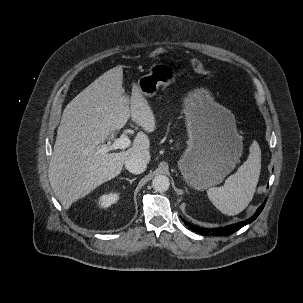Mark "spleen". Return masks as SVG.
<instances>
[{
	"instance_id": "spleen-1",
	"label": "spleen",
	"mask_w": 303,
	"mask_h": 303,
	"mask_svg": "<svg viewBox=\"0 0 303 303\" xmlns=\"http://www.w3.org/2000/svg\"><path fill=\"white\" fill-rule=\"evenodd\" d=\"M249 151L248 159L226 179L224 186L207 191L213 205L226 215L242 212L254 196L261 169V150L257 141L252 142Z\"/></svg>"
}]
</instances>
